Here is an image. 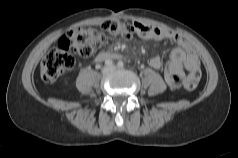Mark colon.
Segmentation results:
<instances>
[{"instance_id": "obj_1", "label": "colon", "mask_w": 238, "mask_h": 158, "mask_svg": "<svg viewBox=\"0 0 238 158\" xmlns=\"http://www.w3.org/2000/svg\"><path fill=\"white\" fill-rule=\"evenodd\" d=\"M142 29L138 23L112 19L104 22L101 28L77 27L62 36L57 46L51 49L41 62V77L45 82L56 81L63 73L70 70L75 63L72 52L81 57H89L94 50L104 43L106 34L133 38ZM201 79V71H191L185 79L184 87L188 91L194 90Z\"/></svg>"}]
</instances>
